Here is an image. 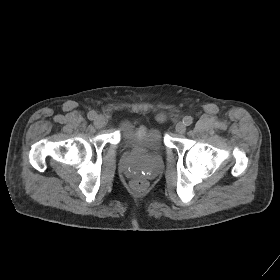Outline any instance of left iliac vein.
<instances>
[{
    "label": "left iliac vein",
    "instance_id": "4c4485c4",
    "mask_svg": "<svg viewBox=\"0 0 280 280\" xmlns=\"http://www.w3.org/2000/svg\"><path fill=\"white\" fill-rule=\"evenodd\" d=\"M175 129L177 133L184 134L186 131V125L183 122H178Z\"/></svg>",
    "mask_w": 280,
    "mask_h": 280
}]
</instances>
